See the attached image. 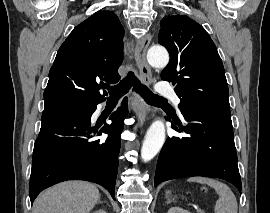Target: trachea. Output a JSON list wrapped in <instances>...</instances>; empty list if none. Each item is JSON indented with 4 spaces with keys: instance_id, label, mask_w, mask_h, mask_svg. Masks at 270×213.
Returning <instances> with one entry per match:
<instances>
[{
    "instance_id": "trachea-1",
    "label": "trachea",
    "mask_w": 270,
    "mask_h": 213,
    "mask_svg": "<svg viewBox=\"0 0 270 213\" xmlns=\"http://www.w3.org/2000/svg\"><path fill=\"white\" fill-rule=\"evenodd\" d=\"M131 86H133V91L139 93L147 103L166 101L165 98L154 94L147 86L141 84L132 71L128 73L120 84L113 87H107L110 94L109 98L114 100L120 99L129 91Z\"/></svg>"
}]
</instances>
